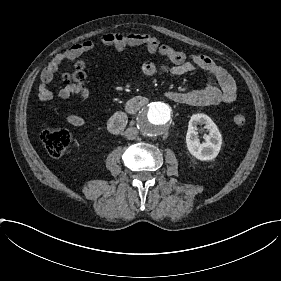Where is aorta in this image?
I'll return each instance as SVG.
<instances>
[{"instance_id": "762f6f07", "label": "aorta", "mask_w": 281, "mask_h": 281, "mask_svg": "<svg viewBox=\"0 0 281 281\" xmlns=\"http://www.w3.org/2000/svg\"><path fill=\"white\" fill-rule=\"evenodd\" d=\"M138 120L145 135H160L168 129L171 108L163 102H153L139 112Z\"/></svg>"}]
</instances>
